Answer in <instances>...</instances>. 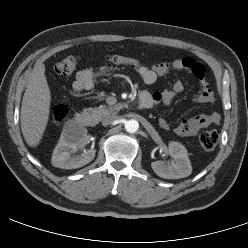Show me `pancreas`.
<instances>
[{
    "label": "pancreas",
    "mask_w": 248,
    "mask_h": 248,
    "mask_svg": "<svg viewBox=\"0 0 248 248\" xmlns=\"http://www.w3.org/2000/svg\"><path fill=\"white\" fill-rule=\"evenodd\" d=\"M123 107H124V105L121 103H119L115 106H110V107H107L105 105H101V106L96 107V108H90V109H88V111L91 113L93 118H95L97 120H101L102 118H104L110 114L117 113Z\"/></svg>",
    "instance_id": "cf45deb5"
}]
</instances>
